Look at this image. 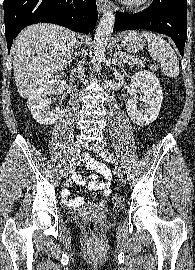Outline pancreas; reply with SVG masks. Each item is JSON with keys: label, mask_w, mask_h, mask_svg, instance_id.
<instances>
[{"label": "pancreas", "mask_w": 195, "mask_h": 270, "mask_svg": "<svg viewBox=\"0 0 195 270\" xmlns=\"http://www.w3.org/2000/svg\"><path fill=\"white\" fill-rule=\"evenodd\" d=\"M120 60H121V62L128 63L130 65H137L140 67L143 66V63L139 58L132 56V55H129V54H124V56Z\"/></svg>", "instance_id": "1"}]
</instances>
